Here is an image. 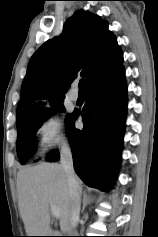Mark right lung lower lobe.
<instances>
[{
	"mask_svg": "<svg viewBox=\"0 0 158 237\" xmlns=\"http://www.w3.org/2000/svg\"><path fill=\"white\" fill-rule=\"evenodd\" d=\"M82 110L84 128H75L79 112L66 120L74 169L85 184L106 191L114 183L126 116V82L121 64L87 86ZM57 161L58 152L48 157Z\"/></svg>",
	"mask_w": 158,
	"mask_h": 237,
	"instance_id": "1",
	"label": "right lung lower lobe"
}]
</instances>
